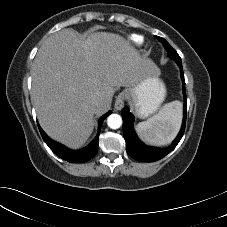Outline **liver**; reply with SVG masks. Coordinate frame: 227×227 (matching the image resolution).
Instances as JSON below:
<instances>
[{
  "label": "liver",
  "mask_w": 227,
  "mask_h": 227,
  "mask_svg": "<svg viewBox=\"0 0 227 227\" xmlns=\"http://www.w3.org/2000/svg\"><path fill=\"white\" fill-rule=\"evenodd\" d=\"M150 73L159 69L120 35L97 32L82 39L72 29L59 31L43 43L31 68L38 121L52 139L78 148L94 129V115L110 108L116 88L134 87Z\"/></svg>",
  "instance_id": "liver-1"
}]
</instances>
